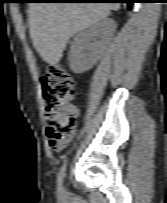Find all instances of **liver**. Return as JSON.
Segmentation results:
<instances>
[{
    "label": "liver",
    "mask_w": 167,
    "mask_h": 203,
    "mask_svg": "<svg viewBox=\"0 0 167 203\" xmlns=\"http://www.w3.org/2000/svg\"><path fill=\"white\" fill-rule=\"evenodd\" d=\"M119 3H30L29 27L33 46L42 59L55 65L75 33L106 18Z\"/></svg>",
    "instance_id": "6515ba94"
}]
</instances>
